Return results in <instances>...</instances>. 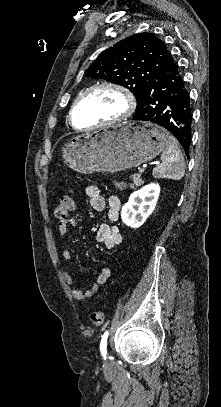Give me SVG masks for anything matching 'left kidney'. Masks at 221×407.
<instances>
[{"label":"left kidney","instance_id":"5707ae66","mask_svg":"<svg viewBox=\"0 0 221 407\" xmlns=\"http://www.w3.org/2000/svg\"><path fill=\"white\" fill-rule=\"evenodd\" d=\"M160 194V186L151 183L133 192L122 207V222L131 228H139L154 211Z\"/></svg>","mask_w":221,"mask_h":407}]
</instances>
